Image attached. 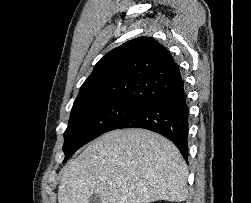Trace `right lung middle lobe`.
<instances>
[{
    "mask_svg": "<svg viewBox=\"0 0 251 203\" xmlns=\"http://www.w3.org/2000/svg\"><path fill=\"white\" fill-rule=\"evenodd\" d=\"M142 106L123 102H98L73 105L64 133V162L69 156L103 133L111 131L123 119Z\"/></svg>",
    "mask_w": 251,
    "mask_h": 203,
    "instance_id": "right-lung-middle-lobe-1",
    "label": "right lung middle lobe"
}]
</instances>
